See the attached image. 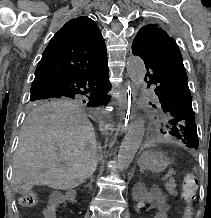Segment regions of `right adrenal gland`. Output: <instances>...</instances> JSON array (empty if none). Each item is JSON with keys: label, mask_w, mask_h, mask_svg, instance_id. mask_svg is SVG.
<instances>
[{"label": "right adrenal gland", "mask_w": 211, "mask_h": 218, "mask_svg": "<svg viewBox=\"0 0 211 218\" xmlns=\"http://www.w3.org/2000/svg\"><path fill=\"white\" fill-rule=\"evenodd\" d=\"M92 182H94L93 178H91L89 184H87V186H85V188H89V190H92Z\"/></svg>", "instance_id": "1"}]
</instances>
